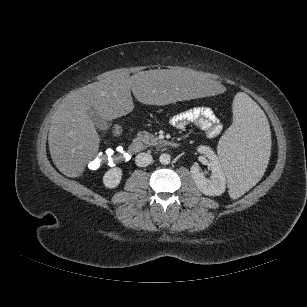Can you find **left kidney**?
<instances>
[{"mask_svg": "<svg viewBox=\"0 0 307 307\" xmlns=\"http://www.w3.org/2000/svg\"><path fill=\"white\" fill-rule=\"evenodd\" d=\"M198 152L206 155L212 173L210 179H208L200 172L199 166L193 165L190 172L197 188L208 196L223 194L226 189V176L216 154L208 146H199Z\"/></svg>", "mask_w": 307, "mask_h": 307, "instance_id": "obj_1", "label": "left kidney"}]
</instances>
